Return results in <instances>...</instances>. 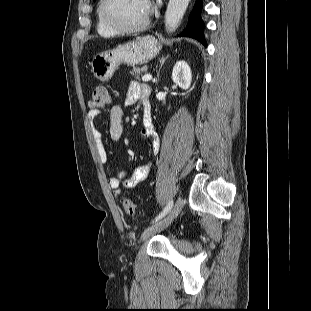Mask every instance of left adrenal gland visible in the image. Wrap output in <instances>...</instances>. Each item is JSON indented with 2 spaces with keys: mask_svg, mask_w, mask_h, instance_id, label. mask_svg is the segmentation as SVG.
Instances as JSON below:
<instances>
[{
  "mask_svg": "<svg viewBox=\"0 0 311 311\" xmlns=\"http://www.w3.org/2000/svg\"><path fill=\"white\" fill-rule=\"evenodd\" d=\"M169 55H167L166 57H162L159 62H160V68H159V71L157 73V77H158V80H159V72H160V69L162 68L163 64L165 63V61L168 59ZM158 80L156 83H158Z\"/></svg>",
  "mask_w": 311,
  "mask_h": 311,
  "instance_id": "1",
  "label": "left adrenal gland"
}]
</instances>
